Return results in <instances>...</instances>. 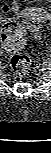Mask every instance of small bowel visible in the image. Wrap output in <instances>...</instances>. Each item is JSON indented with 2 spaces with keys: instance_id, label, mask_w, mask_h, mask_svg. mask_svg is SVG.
I'll return each mask as SVG.
<instances>
[{
  "instance_id": "obj_1",
  "label": "small bowel",
  "mask_w": 51,
  "mask_h": 153,
  "mask_svg": "<svg viewBox=\"0 0 51 153\" xmlns=\"http://www.w3.org/2000/svg\"><path fill=\"white\" fill-rule=\"evenodd\" d=\"M13 8V5L12 4H4L3 5V10L5 11V12H8V11H10L11 9ZM38 20H40L41 18L40 17H38V16H35Z\"/></svg>"
}]
</instances>
